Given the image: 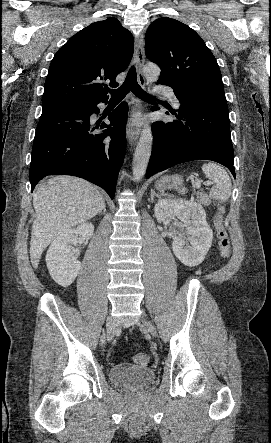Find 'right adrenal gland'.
<instances>
[{"mask_svg": "<svg viewBox=\"0 0 271 443\" xmlns=\"http://www.w3.org/2000/svg\"><path fill=\"white\" fill-rule=\"evenodd\" d=\"M99 214H104V216H105V214H106V208H105V206H104L103 210H101V212H99Z\"/></svg>", "mask_w": 271, "mask_h": 443, "instance_id": "right-adrenal-gland-1", "label": "right adrenal gland"}]
</instances>
